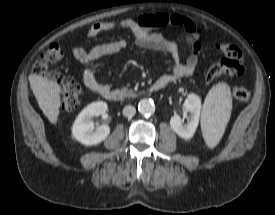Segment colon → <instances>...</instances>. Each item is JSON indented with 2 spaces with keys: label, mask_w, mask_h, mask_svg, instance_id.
Masks as SVG:
<instances>
[{
  "label": "colon",
  "mask_w": 275,
  "mask_h": 215,
  "mask_svg": "<svg viewBox=\"0 0 275 215\" xmlns=\"http://www.w3.org/2000/svg\"><path fill=\"white\" fill-rule=\"evenodd\" d=\"M166 23L175 26H183L186 30H191V22L183 17H167ZM216 50L222 54L223 58L220 63L210 67L206 74L205 80L208 83L216 81L221 75L240 76L245 69V61L241 50L230 44L217 43ZM64 51L60 43H52L36 60L33 66V72L40 76H51L60 85L61 89V107L65 111H73L80 104L81 88L78 83L70 78L59 74H52L49 71L51 64L62 60ZM234 97L239 101H247L250 92L246 88L238 87L233 90Z\"/></svg>",
  "instance_id": "5ec220e1"
}]
</instances>
